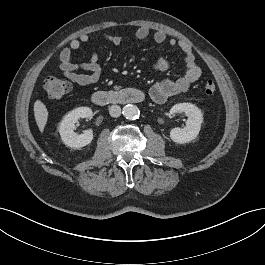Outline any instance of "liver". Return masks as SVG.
<instances>
[{
    "mask_svg": "<svg viewBox=\"0 0 265 265\" xmlns=\"http://www.w3.org/2000/svg\"><path fill=\"white\" fill-rule=\"evenodd\" d=\"M34 116L40 132H43L48 120V110L40 100L34 103Z\"/></svg>",
    "mask_w": 265,
    "mask_h": 265,
    "instance_id": "liver-1",
    "label": "liver"
}]
</instances>
